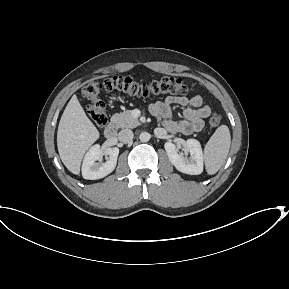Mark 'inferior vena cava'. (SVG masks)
<instances>
[{"mask_svg":"<svg viewBox=\"0 0 289 289\" xmlns=\"http://www.w3.org/2000/svg\"><path fill=\"white\" fill-rule=\"evenodd\" d=\"M119 141L123 143H129L133 139V132L130 129H123L118 133Z\"/></svg>","mask_w":289,"mask_h":289,"instance_id":"obj_1","label":"inferior vena cava"}]
</instances>
